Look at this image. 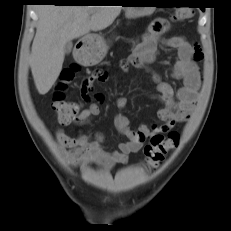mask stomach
Here are the masks:
<instances>
[{
  "label": "stomach",
  "instance_id": "stomach-1",
  "mask_svg": "<svg viewBox=\"0 0 231 231\" xmlns=\"http://www.w3.org/2000/svg\"><path fill=\"white\" fill-rule=\"evenodd\" d=\"M134 4H155L153 0H133ZM156 7H126L125 15L129 19H135L150 15ZM108 45L103 37L94 36L87 40L83 48L79 51V61L84 65H95L106 55Z\"/></svg>",
  "mask_w": 231,
  "mask_h": 231
}]
</instances>
